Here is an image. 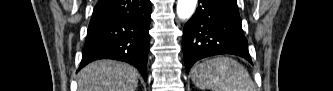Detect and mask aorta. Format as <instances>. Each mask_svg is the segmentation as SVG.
Instances as JSON below:
<instances>
[{
	"label": "aorta",
	"instance_id": "1",
	"mask_svg": "<svg viewBox=\"0 0 333 91\" xmlns=\"http://www.w3.org/2000/svg\"><path fill=\"white\" fill-rule=\"evenodd\" d=\"M197 0H178L177 2V16L179 19H189L196 8Z\"/></svg>",
	"mask_w": 333,
	"mask_h": 91
}]
</instances>
